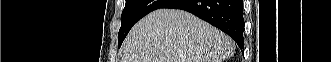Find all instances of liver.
I'll return each mask as SVG.
<instances>
[{
  "mask_svg": "<svg viewBox=\"0 0 331 62\" xmlns=\"http://www.w3.org/2000/svg\"><path fill=\"white\" fill-rule=\"evenodd\" d=\"M235 52L233 40L183 10L159 9L132 28L121 62H222Z\"/></svg>",
  "mask_w": 331,
  "mask_h": 62,
  "instance_id": "obj_1",
  "label": "liver"
}]
</instances>
